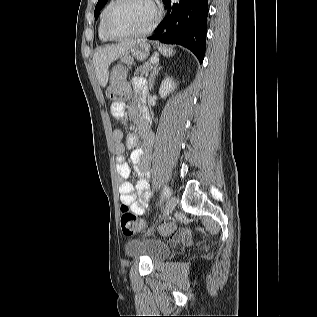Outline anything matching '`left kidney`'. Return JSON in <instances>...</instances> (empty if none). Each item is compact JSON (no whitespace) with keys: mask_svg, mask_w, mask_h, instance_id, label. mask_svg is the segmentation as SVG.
<instances>
[{"mask_svg":"<svg viewBox=\"0 0 317 317\" xmlns=\"http://www.w3.org/2000/svg\"><path fill=\"white\" fill-rule=\"evenodd\" d=\"M176 88V83L173 81L172 78L167 77L164 79L159 88V94L162 98H166L170 92L174 91Z\"/></svg>","mask_w":317,"mask_h":317,"instance_id":"left-kidney-1","label":"left kidney"}]
</instances>
